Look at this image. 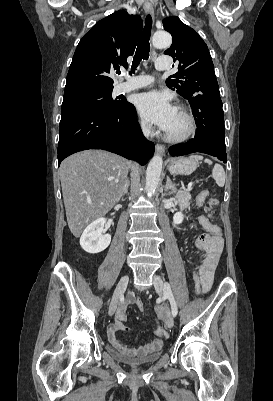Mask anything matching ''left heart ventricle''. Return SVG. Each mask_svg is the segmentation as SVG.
<instances>
[{
  "label": "left heart ventricle",
  "mask_w": 273,
  "mask_h": 401,
  "mask_svg": "<svg viewBox=\"0 0 273 401\" xmlns=\"http://www.w3.org/2000/svg\"><path fill=\"white\" fill-rule=\"evenodd\" d=\"M189 129V122L187 118L180 113V111L176 110L167 129L166 132L172 135H182L186 133Z\"/></svg>",
  "instance_id": "obj_1"
}]
</instances>
